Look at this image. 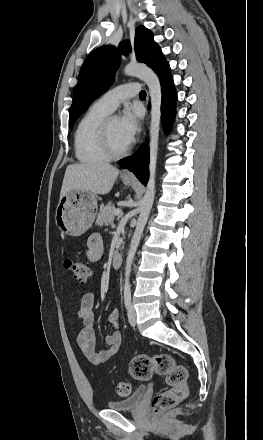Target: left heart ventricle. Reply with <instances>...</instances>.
<instances>
[{"label":"left heart ventricle","instance_id":"1","mask_svg":"<svg viewBox=\"0 0 263 440\" xmlns=\"http://www.w3.org/2000/svg\"><path fill=\"white\" fill-rule=\"evenodd\" d=\"M109 139L115 151L123 150L128 146L120 132L119 121L115 117L111 118L109 122Z\"/></svg>","mask_w":263,"mask_h":440}]
</instances>
